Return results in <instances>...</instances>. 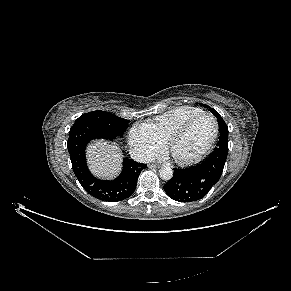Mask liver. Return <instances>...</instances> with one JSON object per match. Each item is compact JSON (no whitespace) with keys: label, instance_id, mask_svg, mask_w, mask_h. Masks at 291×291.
<instances>
[{"label":"liver","instance_id":"1","mask_svg":"<svg viewBox=\"0 0 291 291\" xmlns=\"http://www.w3.org/2000/svg\"><path fill=\"white\" fill-rule=\"evenodd\" d=\"M90 168L102 177H111L119 169L120 152L116 145L98 141L87 150Z\"/></svg>","mask_w":291,"mask_h":291}]
</instances>
